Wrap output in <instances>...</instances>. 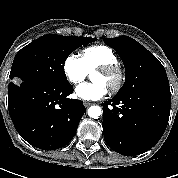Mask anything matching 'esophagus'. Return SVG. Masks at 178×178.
<instances>
[{
  "mask_svg": "<svg viewBox=\"0 0 178 178\" xmlns=\"http://www.w3.org/2000/svg\"><path fill=\"white\" fill-rule=\"evenodd\" d=\"M83 104H84L85 107H88V106L92 105L91 102H87V101H85Z\"/></svg>",
  "mask_w": 178,
  "mask_h": 178,
  "instance_id": "obj_1",
  "label": "esophagus"
}]
</instances>
